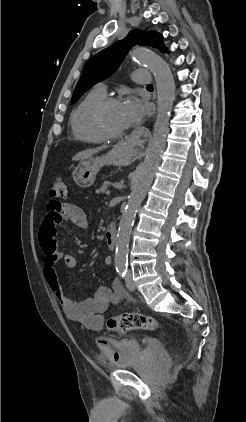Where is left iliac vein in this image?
I'll return each instance as SVG.
<instances>
[{
  "label": "left iliac vein",
  "instance_id": "obj_1",
  "mask_svg": "<svg viewBox=\"0 0 246 422\" xmlns=\"http://www.w3.org/2000/svg\"><path fill=\"white\" fill-rule=\"evenodd\" d=\"M126 286L130 291H134L136 288L135 283L132 280L131 274H128L126 277Z\"/></svg>",
  "mask_w": 246,
  "mask_h": 422
}]
</instances>
